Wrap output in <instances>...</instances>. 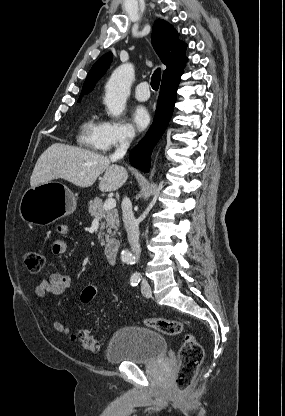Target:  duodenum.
Instances as JSON below:
<instances>
[{
    "label": "duodenum",
    "instance_id": "obj_1",
    "mask_svg": "<svg viewBox=\"0 0 285 416\" xmlns=\"http://www.w3.org/2000/svg\"><path fill=\"white\" fill-rule=\"evenodd\" d=\"M120 242L117 239L109 240L103 247V252L109 263L115 264L118 259Z\"/></svg>",
    "mask_w": 285,
    "mask_h": 416
}]
</instances>
